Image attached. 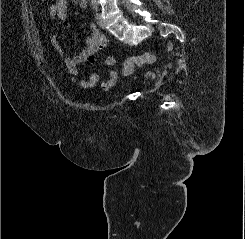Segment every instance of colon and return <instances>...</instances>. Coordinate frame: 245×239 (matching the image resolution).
Masks as SVG:
<instances>
[{"instance_id": "colon-1", "label": "colon", "mask_w": 245, "mask_h": 239, "mask_svg": "<svg viewBox=\"0 0 245 239\" xmlns=\"http://www.w3.org/2000/svg\"><path fill=\"white\" fill-rule=\"evenodd\" d=\"M155 60V56L152 53H143L139 55H134L126 59L122 64V72L125 75L132 73L136 66H141L145 64H151Z\"/></svg>"}]
</instances>
